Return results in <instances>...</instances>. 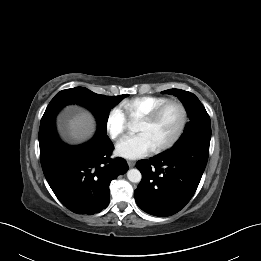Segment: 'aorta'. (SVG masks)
<instances>
[{"instance_id": "762f6f07", "label": "aorta", "mask_w": 261, "mask_h": 261, "mask_svg": "<svg viewBox=\"0 0 261 261\" xmlns=\"http://www.w3.org/2000/svg\"><path fill=\"white\" fill-rule=\"evenodd\" d=\"M127 178L132 183H139L141 181L142 175L138 169H130L127 172Z\"/></svg>"}]
</instances>
